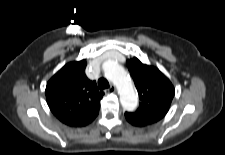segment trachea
Wrapping results in <instances>:
<instances>
[{
    "instance_id": "3493384b",
    "label": "trachea",
    "mask_w": 225,
    "mask_h": 155,
    "mask_svg": "<svg viewBox=\"0 0 225 155\" xmlns=\"http://www.w3.org/2000/svg\"><path fill=\"white\" fill-rule=\"evenodd\" d=\"M98 87L100 90L107 89V88H109V82L104 78H100L98 80Z\"/></svg>"
}]
</instances>
